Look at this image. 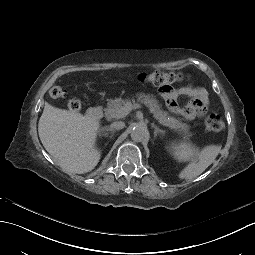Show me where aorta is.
Listing matches in <instances>:
<instances>
[{
    "label": "aorta",
    "instance_id": "aorta-1",
    "mask_svg": "<svg viewBox=\"0 0 255 255\" xmlns=\"http://www.w3.org/2000/svg\"><path fill=\"white\" fill-rule=\"evenodd\" d=\"M131 138L135 142H141L146 138L147 131L146 128L140 124H136L131 132H130Z\"/></svg>",
    "mask_w": 255,
    "mask_h": 255
}]
</instances>
